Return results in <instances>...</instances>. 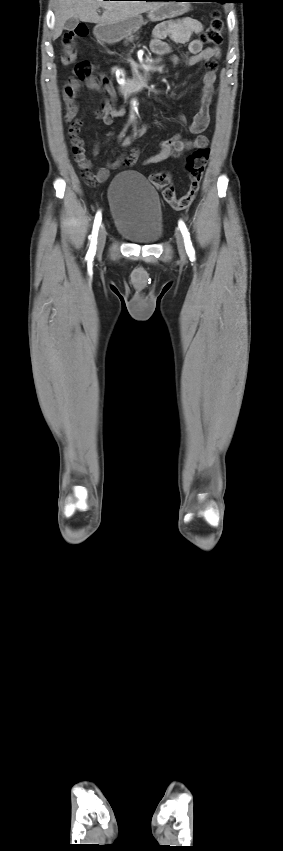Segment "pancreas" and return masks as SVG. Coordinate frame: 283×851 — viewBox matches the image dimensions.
Instances as JSON below:
<instances>
[{
	"label": "pancreas",
	"instance_id": "1",
	"mask_svg": "<svg viewBox=\"0 0 283 851\" xmlns=\"http://www.w3.org/2000/svg\"><path fill=\"white\" fill-rule=\"evenodd\" d=\"M128 40H129V41H132V40H133V36H130V37L128 38Z\"/></svg>",
	"mask_w": 283,
	"mask_h": 851
}]
</instances>
